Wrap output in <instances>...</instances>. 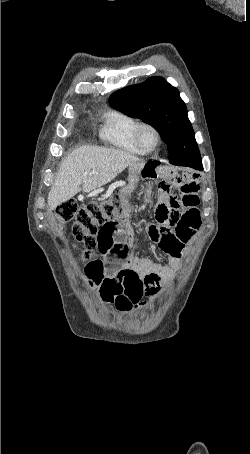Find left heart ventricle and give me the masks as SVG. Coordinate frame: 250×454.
I'll use <instances>...</instances> for the list:
<instances>
[{
    "label": "left heart ventricle",
    "mask_w": 250,
    "mask_h": 454,
    "mask_svg": "<svg viewBox=\"0 0 250 454\" xmlns=\"http://www.w3.org/2000/svg\"><path fill=\"white\" fill-rule=\"evenodd\" d=\"M141 139L145 147L152 148L155 144V136L150 129H144L141 133Z\"/></svg>",
    "instance_id": "obj_1"
}]
</instances>
